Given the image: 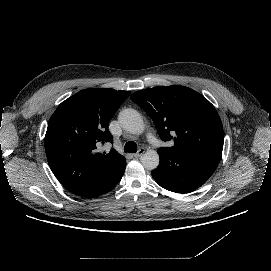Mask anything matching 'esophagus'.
Returning a JSON list of instances; mask_svg holds the SVG:
<instances>
[{
    "label": "esophagus",
    "instance_id": "1",
    "mask_svg": "<svg viewBox=\"0 0 271 271\" xmlns=\"http://www.w3.org/2000/svg\"><path fill=\"white\" fill-rule=\"evenodd\" d=\"M145 153V149L141 147L135 154L134 157L139 158Z\"/></svg>",
    "mask_w": 271,
    "mask_h": 271
}]
</instances>
